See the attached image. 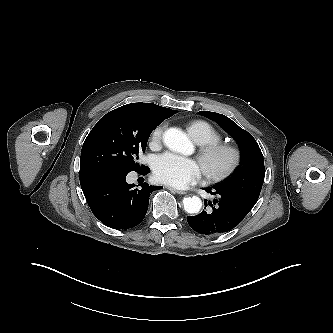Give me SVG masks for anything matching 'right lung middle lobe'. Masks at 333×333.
I'll return each instance as SVG.
<instances>
[{
  "instance_id": "1",
  "label": "right lung middle lobe",
  "mask_w": 333,
  "mask_h": 333,
  "mask_svg": "<svg viewBox=\"0 0 333 333\" xmlns=\"http://www.w3.org/2000/svg\"><path fill=\"white\" fill-rule=\"evenodd\" d=\"M163 120L124 110L115 109L107 113L85 139L80 174L98 170L138 171L139 153L145 151L151 132Z\"/></svg>"
}]
</instances>
